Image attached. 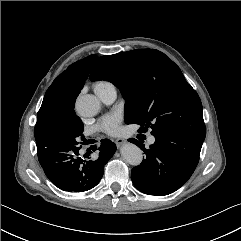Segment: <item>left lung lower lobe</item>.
<instances>
[{
    "label": "left lung lower lobe",
    "instance_id": "0a47b994",
    "mask_svg": "<svg viewBox=\"0 0 241 241\" xmlns=\"http://www.w3.org/2000/svg\"><path fill=\"white\" fill-rule=\"evenodd\" d=\"M150 149L132 138L146 154L142 163L131 171L134 186L150 195H168L183 186L193 174L202 143L171 133L155 134Z\"/></svg>",
    "mask_w": 241,
    "mask_h": 241
}]
</instances>
